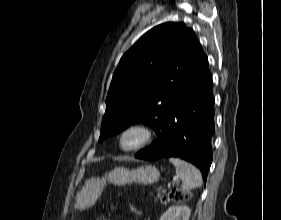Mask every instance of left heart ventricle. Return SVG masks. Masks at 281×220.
<instances>
[{"label": "left heart ventricle", "mask_w": 281, "mask_h": 220, "mask_svg": "<svg viewBox=\"0 0 281 220\" xmlns=\"http://www.w3.org/2000/svg\"><path fill=\"white\" fill-rule=\"evenodd\" d=\"M138 139H139L138 134H136V133L129 134L124 139V145H126V146L133 145V144H135L138 141Z\"/></svg>", "instance_id": "1"}]
</instances>
